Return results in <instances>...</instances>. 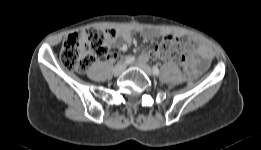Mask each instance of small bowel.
Listing matches in <instances>:
<instances>
[{
    "mask_svg": "<svg viewBox=\"0 0 261 150\" xmlns=\"http://www.w3.org/2000/svg\"><path fill=\"white\" fill-rule=\"evenodd\" d=\"M131 27H121L116 32L115 46L121 50L125 49L127 44H130L133 41ZM138 31L146 39H153L157 36V32L152 29H138ZM192 52L195 54L196 58L193 60L192 65L188 71L190 77L195 76L201 69L206 67L208 61L211 58L210 50L196 41H194V46L191 48ZM106 58L108 60H113L115 58V53L113 51H108L106 53ZM149 53H143L140 56V60H148Z\"/></svg>",
    "mask_w": 261,
    "mask_h": 150,
    "instance_id": "1",
    "label": "small bowel"
}]
</instances>
